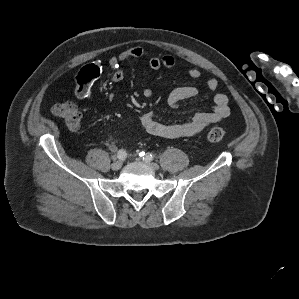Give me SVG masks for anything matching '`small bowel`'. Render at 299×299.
<instances>
[{"label": "small bowel", "instance_id": "c3829d8e", "mask_svg": "<svg viewBox=\"0 0 299 299\" xmlns=\"http://www.w3.org/2000/svg\"><path fill=\"white\" fill-rule=\"evenodd\" d=\"M131 58H146L149 68L157 71L162 67L171 68L174 66V58L170 55L157 56L149 53L142 47L136 46L129 48L118 56H113L109 60V65L112 69V81L121 82L124 79V65ZM101 72L100 66L92 63L84 66L76 77L75 96L79 100H87L91 96L92 83L99 77ZM192 79L201 77V71L197 68H192L188 72ZM218 87V81L214 78L207 81V88L210 91H215ZM199 88L195 86H180L171 91L168 96V104L176 108L179 104L187 99L193 98L199 94ZM152 89L146 87L143 90L145 97L152 96ZM214 107L208 112H198L189 120L181 123L167 124L160 122L154 113L146 112L140 117V125L148 134L175 139L180 137L194 136L203 131L207 126L217 123L226 118L230 114L229 99L224 93H215L213 96ZM112 151L116 150L115 146H111Z\"/></svg>", "mask_w": 299, "mask_h": 299}]
</instances>
